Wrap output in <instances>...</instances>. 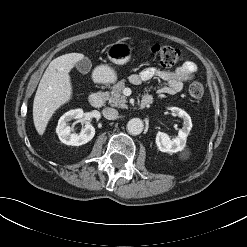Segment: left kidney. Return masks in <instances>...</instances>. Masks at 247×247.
I'll use <instances>...</instances> for the list:
<instances>
[{"mask_svg": "<svg viewBox=\"0 0 247 247\" xmlns=\"http://www.w3.org/2000/svg\"><path fill=\"white\" fill-rule=\"evenodd\" d=\"M171 110L183 119V127L179 130L178 136L174 139L163 133L158 132L156 135V145L161 152L177 153L186 147L187 137L192 128L191 117L182 109L172 107Z\"/></svg>", "mask_w": 247, "mask_h": 247, "instance_id": "5707ae66", "label": "left kidney"}]
</instances>
